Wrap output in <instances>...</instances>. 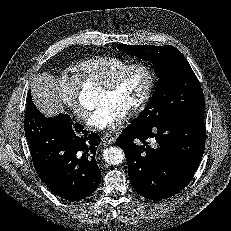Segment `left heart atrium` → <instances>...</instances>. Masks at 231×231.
Segmentation results:
<instances>
[{
    "instance_id": "obj_1",
    "label": "left heart atrium",
    "mask_w": 231,
    "mask_h": 231,
    "mask_svg": "<svg viewBox=\"0 0 231 231\" xmlns=\"http://www.w3.org/2000/svg\"><path fill=\"white\" fill-rule=\"evenodd\" d=\"M124 114L113 104H99L87 117V125L99 130H110L117 127L123 120Z\"/></svg>"
}]
</instances>
